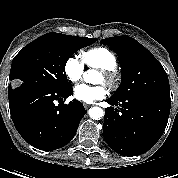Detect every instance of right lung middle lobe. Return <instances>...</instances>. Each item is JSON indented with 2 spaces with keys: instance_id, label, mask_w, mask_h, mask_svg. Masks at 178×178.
I'll return each mask as SVG.
<instances>
[{
  "instance_id": "right-lung-middle-lobe-1",
  "label": "right lung middle lobe",
  "mask_w": 178,
  "mask_h": 178,
  "mask_svg": "<svg viewBox=\"0 0 178 178\" xmlns=\"http://www.w3.org/2000/svg\"><path fill=\"white\" fill-rule=\"evenodd\" d=\"M97 38L47 33L26 45L13 59L10 80L13 87L62 89L69 87L65 75L67 60ZM11 84L8 90L11 89Z\"/></svg>"
}]
</instances>
